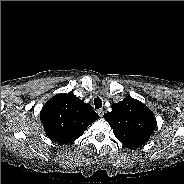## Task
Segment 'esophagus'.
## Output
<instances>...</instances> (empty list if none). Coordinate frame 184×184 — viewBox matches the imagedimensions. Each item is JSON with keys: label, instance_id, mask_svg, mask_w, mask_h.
Instances as JSON below:
<instances>
[{"label": "esophagus", "instance_id": "obj_1", "mask_svg": "<svg viewBox=\"0 0 184 184\" xmlns=\"http://www.w3.org/2000/svg\"><path fill=\"white\" fill-rule=\"evenodd\" d=\"M97 113L100 117H102L104 115V110L103 109H98Z\"/></svg>", "mask_w": 184, "mask_h": 184}]
</instances>
